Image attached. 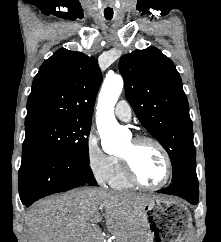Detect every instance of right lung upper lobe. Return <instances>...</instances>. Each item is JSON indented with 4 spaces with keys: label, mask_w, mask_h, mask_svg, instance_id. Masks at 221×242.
Returning a JSON list of instances; mask_svg holds the SVG:
<instances>
[{
    "label": "right lung upper lobe",
    "mask_w": 221,
    "mask_h": 242,
    "mask_svg": "<svg viewBox=\"0 0 221 242\" xmlns=\"http://www.w3.org/2000/svg\"><path fill=\"white\" fill-rule=\"evenodd\" d=\"M102 75L94 57L64 48L41 66L27 102L25 126L60 119H92Z\"/></svg>",
    "instance_id": "obj_1"
}]
</instances>
